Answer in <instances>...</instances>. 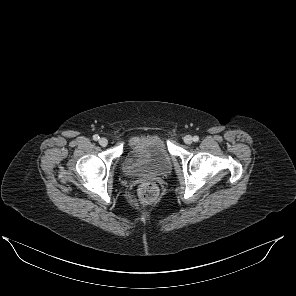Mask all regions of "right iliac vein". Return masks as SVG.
Masks as SVG:
<instances>
[{
  "label": "right iliac vein",
  "mask_w": 296,
  "mask_h": 296,
  "mask_svg": "<svg viewBox=\"0 0 296 296\" xmlns=\"http://www.w3.org/2000/svg\"><path fill=\"white\" fill-rule=\"evenodd\" d=\"M99 144H100L102 147H105V146H107V144H108V140H107L105 137H102V138H100V140H99Z\"/></svg>",
  "instance_id": "63e3f726"
}]
</instances>
